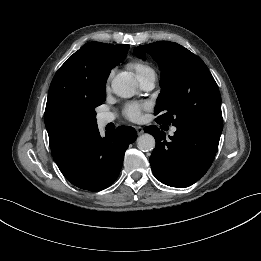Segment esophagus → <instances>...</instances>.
<instances>
[{"mask_svg":"<svg viewBox=\"0 0 261 261\" xmlns=\"http://www.w3.org/2000/svg\"><path fill=\"white\" fill-rule=\"evenodd\" d=\"M135 129H136L138 135H141V134H143V132H144L143 128L140 127V126L135 127Z\"/></svg>","mask_w":261,"mask_h":261,"instance_id":"34e87169","label":"esophagus"}]
</instances>
